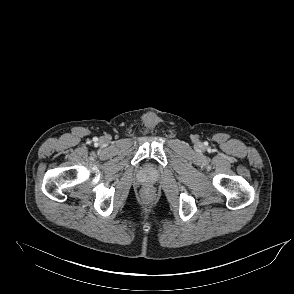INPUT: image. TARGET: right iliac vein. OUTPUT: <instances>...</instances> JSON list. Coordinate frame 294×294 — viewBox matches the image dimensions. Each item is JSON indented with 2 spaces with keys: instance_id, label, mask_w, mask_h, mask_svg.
I'll return each mask as SVG.
<instances>
[{
  "instance_id": "63e3f726",
  "label": "right iliac vein",
  "mask_w": 294,
  "mask_h": 294,
  "mask_svg": "<svg viewBox=\"0 0 294 294\" xmlns=\"http://www.w3.org/2000/svg\"><path fill=\"white\" fill-rule=\"evenodd\" d=\"M99 143L101 145H106L108 143V140H107V138H101L100 141H99Z\"/></svg>"
}]
</instances>
